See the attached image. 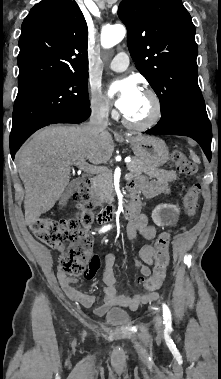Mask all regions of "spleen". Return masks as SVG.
Returning a JSON list of instances; mask_svg holds the SVG:
<instances>
[{"label": "spleen", "instance_id": "3e777b00", "mask_svg": "<svg viewBox=\"0 0 221 379\" xmlns=\"http://www.w3.org/2000/svg\"><path fill=\"white\" fill-rule=\"evenodd\" d=\"M192 158H193L194 162H196V163L200 162L199 158L193 153H192Z\"/></svg>", "mask_w": 221, "mask_h": 379}]
</instances>
